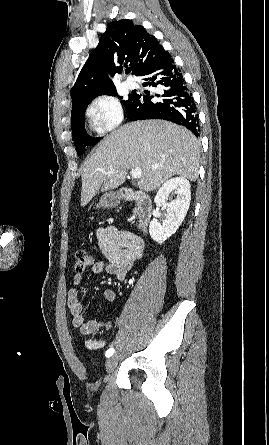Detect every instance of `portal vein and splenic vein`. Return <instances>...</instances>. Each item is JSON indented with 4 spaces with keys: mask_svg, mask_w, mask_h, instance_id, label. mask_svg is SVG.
Wrapping results in <instances>:
<instances>
[{
    "mask_svg": "<svg viewBox=\"0 0 269 445\" xmlns=\"http://www.w3.org/2000/svg\"><path fill=\"white\" fill-rule=\"evenodd\" d=\"M158 167H159V166H154V167H152V169L155 170V169H157ZM113 172H114L113 170L108 171V172H107V176H111V174H113ZM130 174H131L132 178H134V179H138V178H140L141 175H142V170H141L140 168L132 169V170L130 171Z\"/></svg>",
    "mask_w": 269,
    "mask_h": 445,
    "instance_id": "18ae733b",
    "label": "portal vein and splenic vein"
}]
</instances>
